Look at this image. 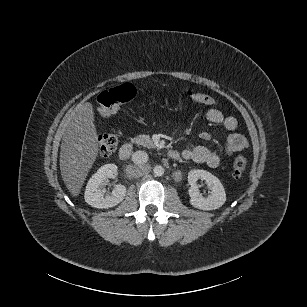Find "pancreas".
Returning <instances> with one entry per match:
<instances>
[{
    "instance_id": "obj_1",
    "label": "pancreas",
    "mask_w": 307,
    "mask_h": 307,
    "mask_svg": "<svg viewBox=\"0 0 307 307\" xmlns=\"http://www.w3.org/2000/svg\"><path fill=\"white\" fill-rule=\"evenodd\" d=\"M134 142L145 148H156L154 142L146 134H139L134 138Z\"/></svg>"
}]
</instances>
